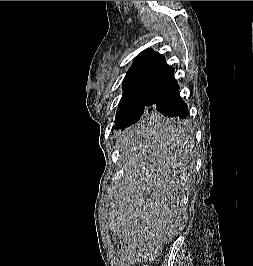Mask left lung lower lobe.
<instances>
[{"instance_id":"obj_1","label":"left lung lower lobe","mask_w":253,"mask_h":266,"mask_svg":"<svg viewBox=\"0 0 253 266\" xmlns=\"http://www.w3.org/2000/svg\"><path fill=\"white\" fill-rule=\"evenodd\" d=\"M145 114L152 115L149 119L139 122L142 128H147L157 135H175L181 130L180 121L189 114L187 104L182 101L179 85L174 78V68L162 61L147 94ZM175 119H162L158 116ZM116 129H124L127 125H115Z\"/></svg>"}]
</instances>
